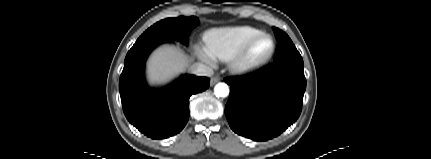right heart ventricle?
<instances>
[{
  "label": "right heart ventricle",
  "instance_id": "right-heart-ventricle-1",
  "mask_svg": "<svg viewBox=\"0 0 431 159\" xmlns=\"http://www.w3.org/2000/svg\"><path fill=\"white\" fill-rule=\"evenodd\" d=\"M260 32L261 30L246 25L215 28L206 32L204 40L215 58L228 60L249 38Z\"/></svg>",
  "mask_w": 431,
  "mask_h": 159
}]
</instances>
